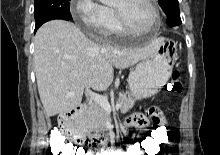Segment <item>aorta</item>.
Segmentation results:
<instances>
[{
	"instance_id": "obj_1",
	"label": "aorta",
	"mask_w": 220,
	"mask_h": 155,
	"mask_svg": "<svg viewBox=\"0 0 220 155\" xmlns=\"http://www.w3.org/2000/svg\"><path fill=\"white\" fill-rule=\"evenodd\" d=\"M101 2L104 4H111L114 2V0H101Z\"/></svg>"
}]
</instances>
